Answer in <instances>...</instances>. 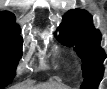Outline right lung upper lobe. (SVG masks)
Listing matches in <instances>:
<instances>
[{"label": "right lung upper lobe", "instance_id": "right-lung-upper-lobe-1", "mask_svg": "<svg viewBox=\"0 0 107 89\" xmlns=\"http://www.w3.org/2000/svg\"><path fill=\"white\" fill-rule=\"evenodd\" d=\"M0 26H12L19 28L15 24V16L8 11H4L0 13Z\"/></svg>", "mask_w": 107, "mask_h": 89}]
</instances>
